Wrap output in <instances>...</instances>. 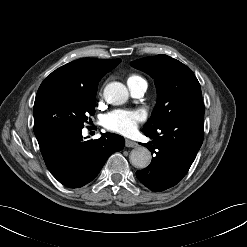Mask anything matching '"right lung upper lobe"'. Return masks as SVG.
Instances as JSON below:
<instances>
[{"label":"right lung upper lobe","instance_id":"cb5924a9","mask_svg":"<svg viewBox=\"0 0 247 247\" xmlns=\"http://www.w3.org/2000/svg\"><path fill=\"white\" fill-rule=\"evenodd\" d=\"M121 62L120 59L82 58L53 71L40 85L37 94L49 90H64L93 94L98 82Z\"/></svg>","mask_w":247,"mask_h":247}]
</instances>
